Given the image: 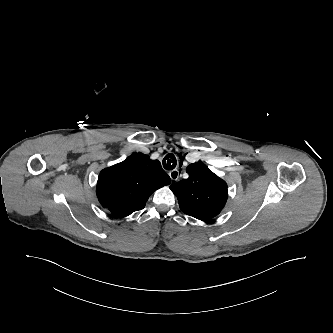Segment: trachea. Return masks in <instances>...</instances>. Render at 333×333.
Instances as JSON below:
<instances>
[{"instance_id": "obj_1", "label": "trachea", "mask_w": 333, "mask_h": 333, "mask_svg": "<svg viewBox=\"0 0 333 333\" xmlns=\"http://www.w3.org/2000/svg\"><path fill=\"white\" fill-rule=\"evenodd\" d=\"M176 165H177L176 157L172 153H168L163 159V167L166 170H173L176 167Z\"/></svg>"}]
</instances>
